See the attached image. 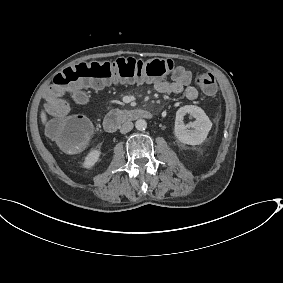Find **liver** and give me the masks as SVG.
<instances>
[{
    "label": "liver",
    "mask_w": 283,
    "mask_h": 283,
    "mask_svg": "<svg viewBox=\"0 0 283 283\" xmlns=\"http://www.w3.org/2000/svg\"><path fill=\"white\" fill-rule=\"evenodd\" d=\"M41 120H42L43 123H46V121H47V117H46V114H45L44 111L41 112Z\"/></svg>",
    "instance_id": "liver-1"
}]
</instances>
